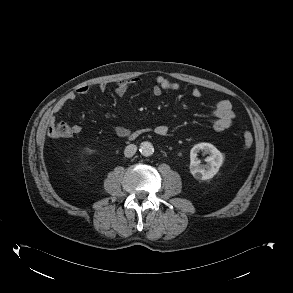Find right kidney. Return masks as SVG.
Listing matches in <instances>:
<instances>
[{
    "instance_id": "1",
    "label": "right kidney",
    "mask_w": 293,
    "mask_h": 293,
    "mask_svg": "<svg viewBox=\"0 0 293 293\" xmlns=\"http://www.w3.org/2000/svg\"><path fill=\"white\" fill-rule=\"evenodd\" d=\"M89 152V149H85L84 151H83V153H88Z\"/></svg>"
}]
</instances>
